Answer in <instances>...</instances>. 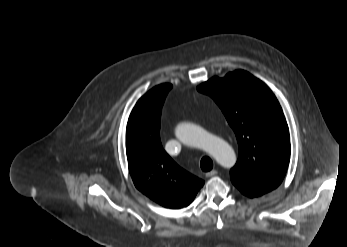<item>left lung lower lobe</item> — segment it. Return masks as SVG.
Wrapping results in <instances>:
<instances>
[{"label": "left lung lower lobe", "mask_w": 347, "mask_h": 247, "mask_svg": "<svg viewBox=\"0 0 347 247\" xmlns=\"http://www.w3.org/2000/svg\"><path fill=\"white\" fill-rule=\"evenodd\" d=\"M240 191L241 193H243L244 195L248 196V197H257V196H261L269 191H264L261 189H254L242 184H234Z\"/></svg>", "instance_id": "obj_1"}]
</instances>
